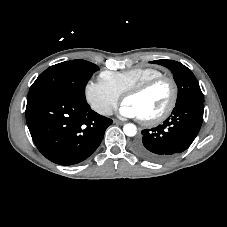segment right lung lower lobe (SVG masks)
I'll list each match as a JSON object with an SVG mask.
<instances>
[{"label": "right lung lower lobe", "mask_w": 227, "mask_h": 227, "mask_svg": "<svg viewBox=\"0 0 227 227\" xmlns=\"http://www.w3.org/2000/svg\"><path fill=\"white\" fill-rule=\"evenodd\" d=\"M26 121L38 150L59 165L77 164L88 158L112 124L84 100L56 94L27 100Z\"/></svg>", "instance_id": "1"}]
</instances>
